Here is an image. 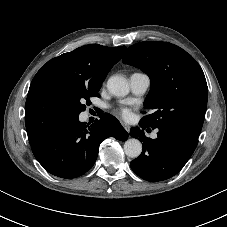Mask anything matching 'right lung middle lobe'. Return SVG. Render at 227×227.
<instances>
[{
  "instance_id": "right-lung-middle-lobe-1",
  "label": "right lung middle lobe",
  "mask_w": 227,
  "mask_h": 227,
  "mask_svg": "<svg viewBox=\"0 0 227 227\" xmlns=\"http://www.w3.org/2000/svg\"><path fill=\"white\" fill-rule=\"evenodd\" d=\"M100 87L87 88L84 86L75 88L69 95L67 102V117L68 120L76 118L85 110L84 102H90V97L99 96Z\"/></svg>"
}]
</instances>
